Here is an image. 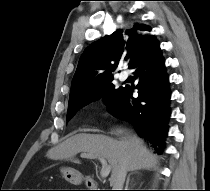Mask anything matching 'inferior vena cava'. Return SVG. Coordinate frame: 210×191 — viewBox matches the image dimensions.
Wrapping results in <instances>:
<instances>
[{
  "instance_id": "obj_1",
  "label": "inferior vena cava",
  "mask_w": 210,
  "mask_h": 191,
  "mask_svg": "<svg viewBox=\"0 0 210 191\" xmlns=\"http://www.w3.org/2000/svg\"><path fill=\"white\" fill-rule=\"evenodd\" d=\"M127 171V166L122 164L111 183L113 190H123Z\"/></svg>"
}]
</instances>
